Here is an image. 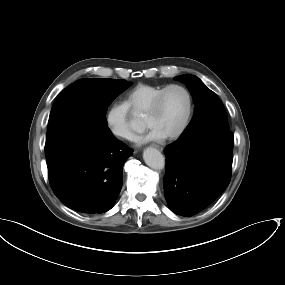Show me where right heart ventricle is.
Instances as JSON below:
<instances>
[{"label":"right heart ventricle","instance_id":"right-heart-ventricle-1","mask_svg":"<svg viewBox=\"0 0 285 285\" xmlns=\"http://www.w3.org/2000/svg\"><path fill=\"white\" fill-rule=\"evenodd\" d=\"M164 85L138 84L124 97L123 105L132 115H143Z\"/></svg>","mask_w":285,"mask_h":285}]
</instances>
